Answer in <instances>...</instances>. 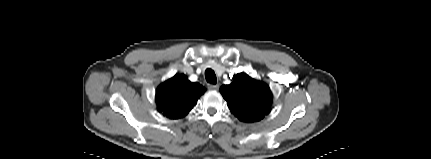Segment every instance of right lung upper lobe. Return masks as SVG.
Masks as SVG:
<instances>
[{
  "instance_id": "obj_1",
  "label": "right lung upper lobe",
  "mask_w": 431,
  "mask_h": 159,
  "mask_svg": "<svg viewBox=\"0 0 431 159\" xmlns=\"http://www.w3.org/2000/svg\"><path fill=\"white\" fill-rule=\"evenodd\" d=\"M204 91L205 88L199 83H192L185 76L175 75L157 88L158 111L168 118L183 117L188 114Z\"/></svg>"
}]
</instances>
